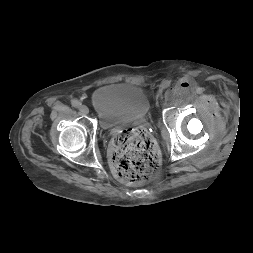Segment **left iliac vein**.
Returning a JSON list of instances; mask_svg holds the SVG:
<instances>
[{
	"mask_svg": "<svg viewBox=\"0 0 253 253\" xmlns=\"http://www.w3.org/2000/svg\"><path fill=\"white\" fill-rule=\"evenodd\" d=\"M158 96H159V98L161 99V94H160V93H158Z\"/></svg>",
	"mask_w": 253,
	"mask_h": 253,
	"instance_id": "obj_1",
	"label": "left iliac vein"
}]
</instances>
